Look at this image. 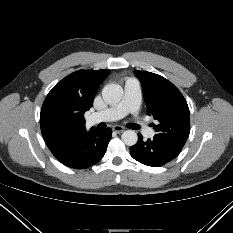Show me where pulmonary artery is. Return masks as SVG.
<instances>
[{"instance_id":"obj_1","label":"pulmonary artery","mask_w":233,"mask_h":233,"mask_svg":"<svg viewBox=\"0 0 233 233\" xmlns=\"http://www.w3.org/2000/svg\"><path fill=\"white\" fill-rule=\"evenodd\" d=\"M141 100L140 83L136 78H127L124 85V95L119 103L103 111L92 114L89 124L119 120L127 114L133 116V121L147 137H152L154 131L137 116Z\"/></svg>"}]
</instances>
